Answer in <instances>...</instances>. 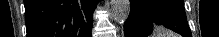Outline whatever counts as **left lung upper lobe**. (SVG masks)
<instances>
[{
  "mask_svg": "<svg viewBox=\"0 0 219 37\" xmlns=\"http://www.w3.org/2000/svg\"><path fill=\"white\" fill-rule=\"evenodd\" d=\"M174 1H176L177 3L181 4L182 6H184L183 0H174Z\"/></svg>",
  "mask_w": 219,
  "mask_h": 37,
  "instance_id": "5c2ea615",
  "label": "left lung upper lobe"
}]
</instances>
